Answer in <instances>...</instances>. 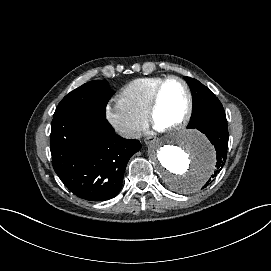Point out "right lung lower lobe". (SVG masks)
Masks as SVG:
<instances>
[{
    "label": "right lung lower lobe",
    "mask_w": 271,
    "mask_h": 271,
    "mask_svg": "<svg viewBox=\"0 0 271 271\" xmlns=\"http://www.w3.org/2000/svg\"><path fill=\"white\" fill-rule=\"evenodd\" d=\"M140 148L139 141L115 134L105 114L74 110L52 120L53 168L73 194L88 201L119 193L127 162Z\"/></svg>",
    "instance_id": "obj_1"
}]
</instances>
